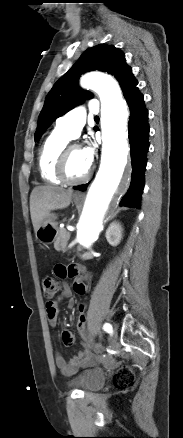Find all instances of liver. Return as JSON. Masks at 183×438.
<instances>
[{
    "label": "liver",
    "instance_id": "1",
    "mask_svg": "<svg viewBox=\"0 0 183 438\" xmlns=\"http://www.w3.org/2000/svg\"><path fill=\"white\" fill-rule=\"evenodd\" d=\"M72 195L71 189L65 190L54 186L34 188L30 195V213L34 231L50 211L67 208Z\"/></svg>",
    "mask_w": 183,
    "mask_h": 438
}]
</instances>
